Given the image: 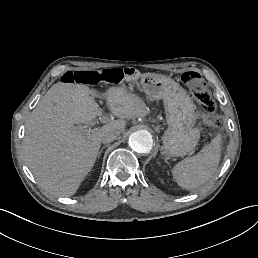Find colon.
<instances>
[{"mask_svg":"<svg viewBox=\"0 0 258 258\" xmlns=\"http://www.w3.org/2000/svg\"><path fill=\"white\" fill-rule=\"evenodd\" d=\"M121 80V69L108 68L102 70H74L66 72L62 81L67 84H82L90 87L99 85H113ZM182 82L192 89L196 100L208 112H214L215 102L212 94L199 73L185 72L181 76Z\"/></svg>","mask_w":258,"mask_h":258,"instance_id":"1","label":"colon"}]
</instances>
